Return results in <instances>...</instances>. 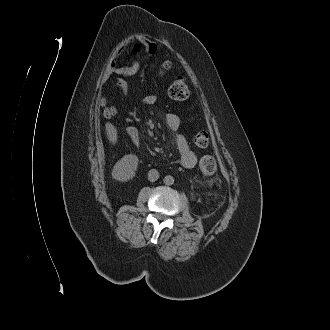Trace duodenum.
Returning <instances> with one entry per match:
<instances>
[{
	"label": "duodenum",
	"instance_id": "1",
	"mask_svg": "<svg viewBox=\"0 0 330 330\" xmlns=\"http://www.w3.org/2000/svg\"><path fill=\"white\" fill-rule=\"evenodd\" d=\"M131 134H132V137H133L134 139L137 138V133H136V132H132Z\"/></svg>",
	"mask_w": 330,
	"mask_h": 330
}]
</instances>
